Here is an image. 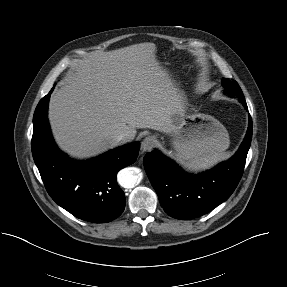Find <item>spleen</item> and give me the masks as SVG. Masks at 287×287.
Listing matches in <instances>:
<instances>
[{
	"mask_svg": "<svg viewBox=\"0 0 287 287\" xmlns=\"http://www.w3.org/2000/svg\"><path fill=\"white\" fill-rule=\"evenodd\" d=\"M228 157V154L226 153H218L214 155H210L204 158H201L194 163L190 164V168L194 171H201V170H206L217 163H219L222 160H225Z\"/></svg>",
	"mask_w": 287,
	"mask_h": 287,
	"instance_id": "spleen-1",
	"label": "spleen"
}]
</instances>
